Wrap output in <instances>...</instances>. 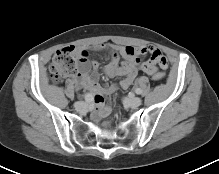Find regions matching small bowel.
<instances>
[{
	"mask_svg": "<svg viewBox=\"0 0 219 174\" xmlns=\"http://www.w3.org/2000/svg\"><path fill=\"white\" fill-rule=\"evenodd\" d=\"M99 50H106L110 54V63L105 67L104 72L107 76L113 77L115 75L124 76L120 85L113 81L109 86L102 87L97 83L99 64L96 61L88 62L85 50H76L80 57V66L78 74L71 79V83L88 91L93 101V117L100 119L109 113L106 106V96L112 92L119 90L120 86L124 89L128 88L138 74V66L140 63V56L149 54L148 63L142 65V70L148 74L153 75L158 68L166 69L168 61L164 53H161L153 46H132V45H103ZM123 58V62L119 58ZM93 73H90V70Z\"/></svg>",
	"mask_w": 219,
	"mask_h": 174,
	"instance_id": "obj_1",
	"label": "small bowel"
}]
</instances>
